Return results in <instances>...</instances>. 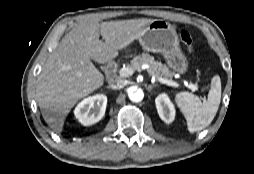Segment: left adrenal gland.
<instances>
[{"instance_id": "a2214340", "label": "left adrenal gland", "mask_w": 254, "mask_h": 174, "mask_svg": "<svg viewBox=\"0 0 254 174\" xmlns=\"http://www.w3.org/2000/svg\"><path fill=\"white\" fill-rule=\"evenodd\" d=\"M156 86L157 85H149V86L146 87V89L150 92Z\"/></svg>"}]
</instances>
